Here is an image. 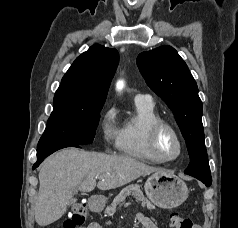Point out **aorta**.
I'll return each instance as SVG.
<instances>
[{
	"label": "aorta",
	"instance_id": "1",
	"mask_svg": "<svg viewBox=\"0 0 238 228\" xmlns=\"http://www.w3.org/2000/svg\"><path fill=\"white\" fill-rule=\"evenodd\" d=\"M118 90H122L124 87V82L123 81H118L116 85Z\"/></svg>",
	"mask_w": 238,
	"mask_h": 228
}]
</instances>
